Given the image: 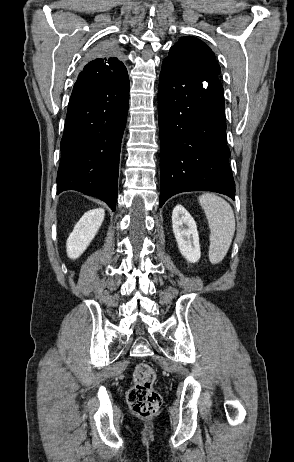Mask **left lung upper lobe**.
<instances>
[{
	"mask_svg": "<svg viewBox=\"0 0 294 462\" xmlns=\"http://www.w3.org/2000/svg\"><path fill=\"white\" fill-rule=\"evenodd\" d=\"M164 61L190 68L207 76L217 77L221 72L212 50L194 37L181 38L171 47Z\"/></svg>",
	"mask_w": 294,
	"mask_h": 462,
	"instance_id": "1",
	"label": "left lung upper lobe"
}]
</instances>
